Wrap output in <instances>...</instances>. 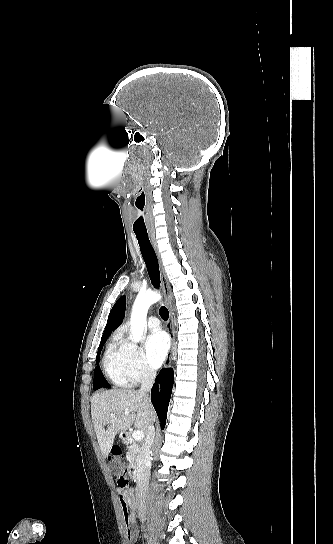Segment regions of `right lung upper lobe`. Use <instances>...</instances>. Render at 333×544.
I'll use <instances>...</instances> for the list:
<instances>
[{"instance_id": "obj_1", "label": "right lung upper lobe", "mask_w": 333, "mask_h": 544, "mask_svg": "<svg viewBox=\"0 0 333 544\" xmlns=\"http://www.w3.org/2000/svg\"><path fill=\"white\" fill-rule=\"evenodd\" d=\"M125 308V296H122L118 299L110 311L102 339L108 338L111 332L122 323L125 316Z\"/></svg>"}]
</instances>
